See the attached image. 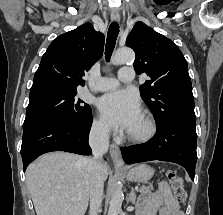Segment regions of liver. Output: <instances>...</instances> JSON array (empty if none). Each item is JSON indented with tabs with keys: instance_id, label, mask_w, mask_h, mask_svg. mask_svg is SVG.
Listing matches in <instances>:
<instances>
[{
	"instance_id": "1",
	"label": "liver",
	"mask_w": 223,
	"mask_h": 215,
	"mask_svg": "<svg viewBox=\"0 0 223 215\" xmlns=\"http://www.w3.org/2000/svg\"><path fill=\"white\" fill-rule=\"evenodd\" d=\"M103 171L106 179V163ZM89 181L88 157L75 153L50 151L26 169V183L37 215H84L89 201Z\"/></svg>"
}]
</instances>
